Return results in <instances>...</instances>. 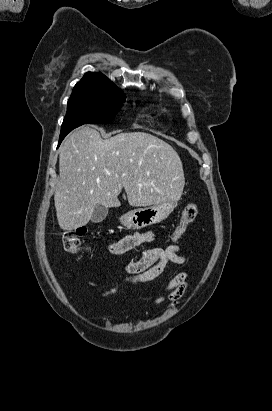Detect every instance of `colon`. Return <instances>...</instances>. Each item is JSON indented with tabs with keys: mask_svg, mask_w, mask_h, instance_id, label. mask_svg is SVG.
<instances>
[{
	"mask_svg": "<svg viewBox=\"0 0 272 411\" xmlns=\"http://www.w3.org/2000/svg\"><path fill=\"white\" fill-rule=\"evenodd\" d=\"M198 215V206L195 203L187 204L182 213L178 224L176 225L172 239L178 240L195 221ZM87 229L78 228L75 231L65 230L62 232V243L64 250L69 254H77L81 248V237L86 235Z\"/></svg>",
	"mask_w": 272,
	"mask_h": 411,
	"instance_id": "colon-1",
	"label": "colon"
}]
</instances>
